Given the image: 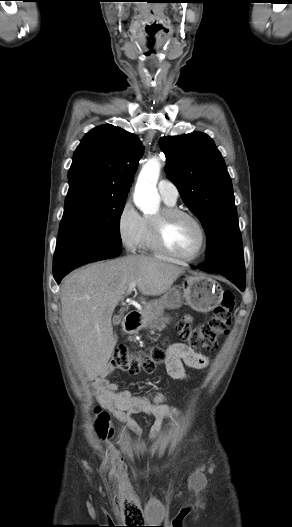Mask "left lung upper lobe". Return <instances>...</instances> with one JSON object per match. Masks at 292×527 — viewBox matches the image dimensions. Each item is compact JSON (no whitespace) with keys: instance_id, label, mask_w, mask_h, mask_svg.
<instances>
[{"instance_id":"1","label":"left lung upper lobe","mask_w":292,"mask_h":527,"mask_svg":"<svg viewBox=\"0 0 292 527\" xmlns=\"http://www.w3.org/2000/svg\"><path fill=\"white\" fill-rule=\"evenodd\" d=\"M167 177L207 234V261L243 256L232 183L212 139L199 132L161 137Z\"/></svg>"}]
</instances>
